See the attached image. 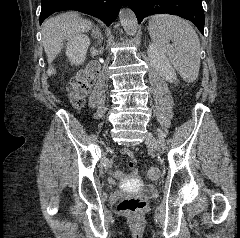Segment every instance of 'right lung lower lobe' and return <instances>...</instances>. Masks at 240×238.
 Wrapping results in <instances>:
<instances>
[{
  "label": "right lung lower lobe",
  "instance_id": "obj_1",
  "mask_svg": "<svg viewBox=\"0 0 240 238\" xmlns=\"http://www.w3.org/2000/svg\"><path fill=\"white\" fill-rule=\"evenodd\" d=\"M40 24L51 14L76 10L101 19L110 25L116 19L122 0H42Z\"/></svg>",
  "mask_w": 240,
  "mask_h": 238
}]
</instances>
